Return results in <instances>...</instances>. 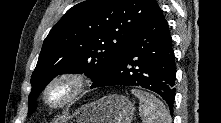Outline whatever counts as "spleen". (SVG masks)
<instances>
[{"label":"spleen","instance_id":"spleen-1","mask_svg":"<svg viewBox=\"0 0 221 123\" xmlns=\"http://www.w3.org/2000/svg\"><path fill=\"white\" fill-rule=\"evenodd\" d=\"M139 99V114L143 123H171V116L166 106L154 95L138 89H132Z\"/></svg>","mask_w":221,"mask_h":123}]
</instances>
